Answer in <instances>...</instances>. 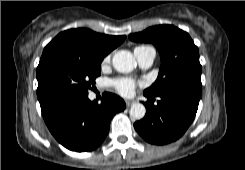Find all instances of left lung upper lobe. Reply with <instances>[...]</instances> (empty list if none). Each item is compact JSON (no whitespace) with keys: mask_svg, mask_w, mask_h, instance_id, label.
Returning a JSON list of instances; mask_svg holds the SVG:
<instances>
[{"mask_svg":"<svg viewBox=\"0 0 245 170\" xmlns=\"http://www.w3.org/2000/svg\"><path fill=\"white\" fill-rule=\"evenodd\" d=\"M129 38L135 42L153 43L160 52L157 80L144 93L157 96L169 90H187L201 94L199 51L188 33L173 25H159L130 34Z\"/></svg>","mask_w":245,"mask_h":170,"instance_id":"left-lung-upper-lobe-1","label":"left lung upper lobe"}]
</instances>
